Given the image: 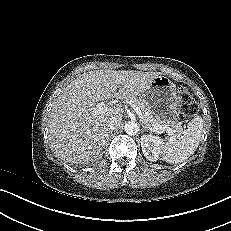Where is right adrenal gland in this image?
<instances>
[{
	"instance_id": "right-adrenal-gland-1",
	"label": "right adrenal gland",
	"mask_w": 231,
	"mask_h": 231,
	"mask_svg": "<svg viewBox=\"0 0 231 231\" xmlns=\"http://www.w3.org/2000/svg\"><path fill=\"white\" fill-rule=\"evenodd\" d=\"M108 140H109V136H107V138H106V141H105V146L107 145V143H108ZM105 146H104V148H105Z\"/></svg>"
}]
</instances>
